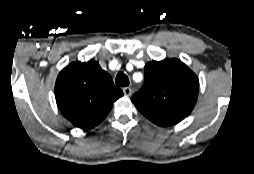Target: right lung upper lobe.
I'll return each mask as SVG.
<instances>
[{
	"label": "right lung upper lobe",
	"instance_id": "right-lung-upper-lobe-1",
	"mask_svg": "<svg viewBox=\"0 0 254 174\" xmlns=\"http://www.w3.org/2000/svg\"><path fill=\"white\" fill-rule=\"evenodd\" d=\"M123 96L96 61L73 62L58 75L55 97L59 110L73 125L91 129L101 123Z\"/></svg>",
	"mask_w": 254,
	"mask_h": 174
}]
</instances>
